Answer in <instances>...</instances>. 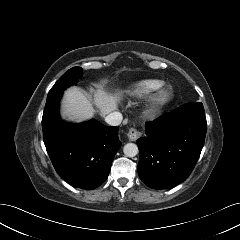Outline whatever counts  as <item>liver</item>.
<instances>
[{"instance_id": "1", "label": "liver", "mask_w": 240, "mask_h": 240, "mask_svg": "<svg viewBox=\"0 0 240 240\" xmlns=\"http://www.w3.org/2000/svg\"><path fill=\"white\" fill-rule=\"evenodd\" d=\"M93 92L94 101L92 102L81 89L77 87L69 88L64 95L63 117L75 122L90 119L95 113L93 104L99 109L102 116L117 110L121 99L120 93L108 94L102 88Z\"/></svg>"}]
</instances>
